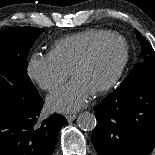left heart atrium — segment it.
Listing matches in <instances>:
<instances>
[{"label": "left heart atrium", "instance_id": "obj_1", "mask_svg": "<svg viewBox=\"0 0 155 155\" xmlns=\"http://www.w3.org/2000/svg\"><path fill=\"white\" fill-rule=\"evenodd\" d=\"M93 93L80 81L73 79L68 85L51 94L48 107L57 112H74L82 108Z\"/></svg>", "mask_w": 155, "mask_h": 155}]
</instances>
